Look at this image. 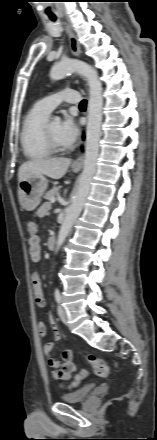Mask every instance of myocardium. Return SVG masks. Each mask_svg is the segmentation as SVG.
<instances>
[{
    "mask_svg": "<svg viewBox=\"0 0 157 440\" xmlns=\"http://www.w3.org/2000/svg\"><path fill=\"white\" fill-rule=\"evenodd\" d=\"M49 123H46L43 127V136L44 140L49 147V149L54 153H61L65 152L68 147L66 145L58 144L51 136L49 129H48Z\"/></svg>",
    "mask_w": 157,
    "mask_h": 440,
    "instance_id": "obj_1",
    "label": "myocardium"
}]
</instances>
